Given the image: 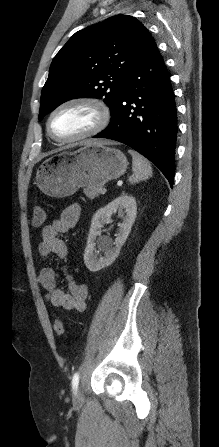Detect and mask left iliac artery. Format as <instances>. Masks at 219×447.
<instances>
[{
	"label": "left iliac artery",
	"instance_id": "44dca946",
	"mask_svg": "<svg viewBox=\"0 0 219 447\" xmlns=\"http://www.w3.org/2000/svg\"><path fill=\"white\" fill-rule=\"evenodd\" d=\"M78 384H79V374L75 373L72 378V388L74 391L77 390Z\"/></svg>",
	"mask_w": 219,
	"mask_h": 447
}]
</instances>
